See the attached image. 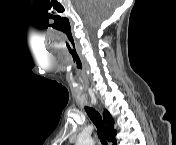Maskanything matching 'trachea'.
Masks as SVG:
<instances>
[{"mask_svg":"<svg viewBox=\"0 0 176 145\" xmlns=\"http://www.w3.org/2000/svg\"><path fill=\"white\" fill-rule=\"evenodd\" d=\"M85 110L97 128V135L102 145H108L104 136L106 134L105 123L103 122L101 115L91 107H85Z\"/></svg>","mask_w":176,"mask_h":145,"instance_id":"trachea-1","label":"trachea"}]
</instances>
